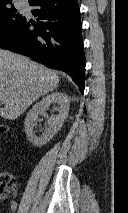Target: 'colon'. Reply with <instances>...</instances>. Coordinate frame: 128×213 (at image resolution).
I'll list each match as a JSON object with an SVG mask.
<instances>
[{
    "instance_id": "obj_1",
    "label": "colon",
    "mask_w": 128,
    "mask_h": 213,
    "mask_svg": "<svg viewBox=\"0 0 128 213\" xmlns=\"http://www.w3.org/2000/svg\"><path fill=\"white\" fill-rule=\"evenodd\" d=\"M7 126L0 124V133H6ZM17 191V184L12 175L6 172L0 173V198L5 199L13 196Z\"/></svg>"
}]
</instances>
